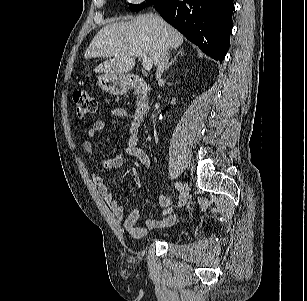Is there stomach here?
I'll return each mask as SVG.
<instances>
[{
    "label": "stomach",
    "mask_w": 307,
    "mask_h": 301,
    "mask_svg": "<svg viewBox=\"0 0 307 301\" xmlns=\"http://www.w3.org/2000/svg\"><path fill=\"white\" fill-rule=\"evenodd\" d=\"M98 86L105 92L121 95L128 91L129 83L126 75L102 74L97 80Z\"/></svg>",
    "instance_id": "obj_1"
}]
</instances>
